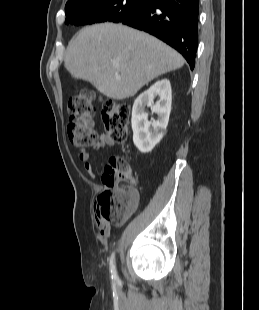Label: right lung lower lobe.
I'll use <instances>...</instances> for the list:
<instances>
[{
	"label": "right lung lower lobe",
	"instance_id": "right-lung-lower-lobe-1",
	"mask_svg": "<svg viewBox=\"0 0 259 310\" xmlns=\"http://www.w3.org/2000/svg\"><path fill=\"white\" fill-rule=\"evenodd\" d=\"M199 0H148L147 4L120 21L166 42L195 66L198 44Z\"/></svg>",
	"mask_w": 259,
	"mask_h": 310
}]
</instances>
